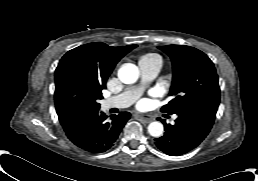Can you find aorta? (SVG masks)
<instances>
[{
    "mask_svg": "<svg viewBox=\"0 0 258 181\" xmlns=\"http://www.w3.org/2000/svg\"><path fill=\"white\" fill-rule=\"evenodd\" d=\"M118 78L124 84H133L139 78V69L134 64L125 63L118 70ZM163 131L164 127L161 122L154 121L148 125V132L153 137H160Z\"/></svg>",
    "mask_w": 258,
    "mask_h": 181,
    "instance_id": "1",
    "label": "aorta"
}]
</instances>
